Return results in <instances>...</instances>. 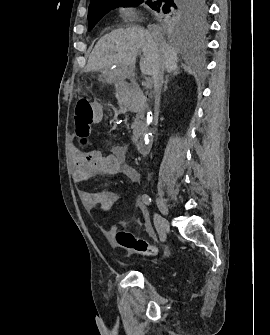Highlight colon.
<instances>
[{
  "mask_svg": "<svg viewBox=\"0 0 270 335\" xmlns=\"http://www.w3.org/2000/svg\"><path fill=\"white\" fill-rule=\"evenodd\" d=\"M76 116H75V133L83 137H89L93 111L89 101L77 102ZM116 242L121 249L134 252L137 254L155 256L158 252L157 248L150 244L148 240L137 237L132 233L120 230L116 234Z\"/></svg>",
  "mask_w": 270,
  "mask_h": 335,
  "instance_id": "1",
  "label": "colon"
}]
</instances>
